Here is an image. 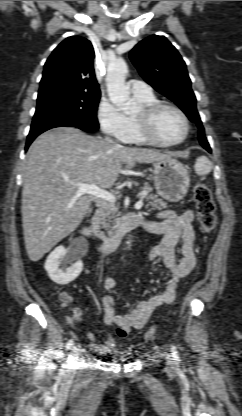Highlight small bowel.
I'll list each match as a JSON object with an SVG mask.
<instances>
[{"label":"small bowel","mask_w":242,"mask_h":416,"mask_svg":"<svg viewBox=\"0 0 242 416\" xmlns=\"http://www.w3.org/2000/svg\"><path fill=\"white\" fill-rule=\"evenodd\" d=\"M157 218L154 221L143 222V227L150 233L163 235L162 241L151 249L149 258L152 262H161L166 268V285L161 292L147 300L134 302L126 313L119 314L116 312L113 297L109 295L116 283L112 278H106L102 283L103 291L106 293L102 298V305L104 322L108 326L122 327L127 332L132 329H142L158 307L173 303L180 281L195 267V235L192 227L194 213L186 211L181 215H176L172 211H163L158 214ZM180 240L182 241L181 257H178L175 247ZM63 295L68 300L70 299L68 294L63 293L61 297ZM82 316V309L75 307L66 321L73 326L81 321ZM85 336L91 342V349L100 355H108L115 349L112 336H108L104 344L98 343L97 337L91 332H86Z\"/></svg>","instance_id":"small-bowel-1"}]
</instances>
